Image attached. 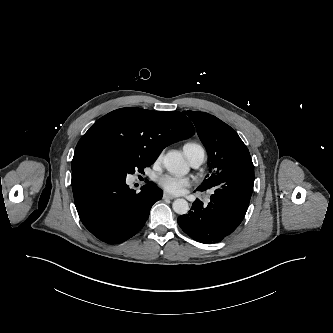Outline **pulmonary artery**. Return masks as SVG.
Listing matches in <instances>:
<instances>
[{
	"label": "pulmonary artery",
	"instance_id": "pulmonary-artery-1",
	"mask_svg": "<svg viewBox=\"0 0 333 333\" xmlns=\"http://www.w3.org/2000/svg\"><path fill=\"white\" fill-rule=\"evenodd\" d=\"M206 155L203 149L196 151L188 160L191 166L197 168L199 167L205 160Z\"/></svg>",
	"mask_w": 333,
	"mask_h": 333
}]
</instances>
